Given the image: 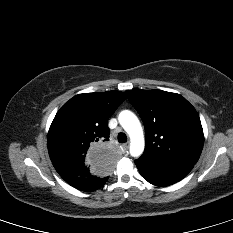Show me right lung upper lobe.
Listing matches in <instances>:
<instances>
[{
  "label": "right lung upper lobe",
  "instance_id": "1",
  "mask_svg": "<svg viewBox=\"0 0 233 233\" xmlns=\"http://www.w3.org/2000/svg\"><path fill=\"white\" fill-rule=\"evenodd\" d=\"M126 99L120 91L84 93L57 112L48 132V152L65 181L103 177L113 167L108 119Z\"/></svg>",
  "mask_w": 233,
  "mask_h": 233
}]
</instances>
